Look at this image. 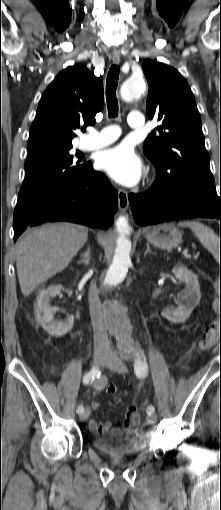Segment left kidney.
Masks as SVG:
<instances>
[{"label": "left kidney", "instance_id": "1", "mask_svg": "<svg viewBox=\"0 0 221 510\" xmlns=\"http://www.w3.org/2000/svg\"><path fill=\"white\" fill-rule=\"evenodd\" d=\"M172 273L186 284V288L177 295V309L166 308L161 315L172 323H184L200 301L199 281L197 276L183 265L174 266Z\"/></svg>", "mask_w": 221, "mask_h": 510}]
</instances>
